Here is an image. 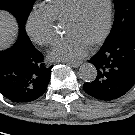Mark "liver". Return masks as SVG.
Segmentation results:
<instances>
[{"label": "liver", "mask_w": 135, "mask_h": 135, "mask_svg": "<svg viewBox=\"0 0 135 135\" xmlns=\"http://www.w3.org/2000/svg\"><path fill=\"white\" fill-rule=\"evenodd\" d=\"M15 19L7 12L0 11V49L10 46L17 35Z\"/></svg>", "instance_id": "1"}]
</instances>
